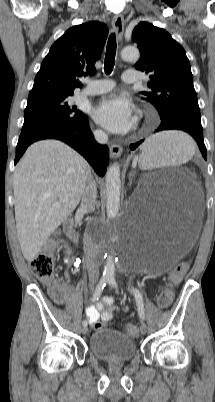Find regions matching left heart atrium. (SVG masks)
Returning a JSON list of instances; mask_svg holds the SVG:
<instances>
[{
	"label": "left heart atrium",
	"instance_id": "obj_1",
	"mask_svg": "<svg viewBox=\"0 0 215 402\" xmlns=\"http://www.w3.org/2000/svg\"><path fill=\"white\" fill-rule=\"evenodd\" d=\"M94 120L113 133H126L136 124L133 104L124 96L103 98L93 110Z\"/></svg>",
	"mask_w": 215,
	"mask_h": 402
}]
</instances>
